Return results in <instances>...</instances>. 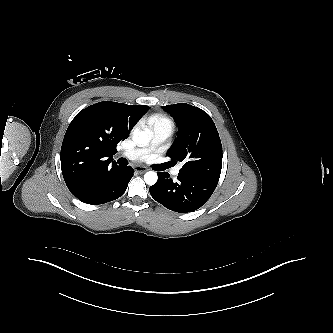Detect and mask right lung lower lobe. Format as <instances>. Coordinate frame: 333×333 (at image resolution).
<instances>
[{"label":"right lung lower lobe","instance_id":"right-lung-lower-lobe-1","mask_svg":"<svg viewBox=\"0 0 333 333\" xmlns=\"http://www.w3.org/2000/svg\"><path fill=\"white\" fill-rule=\"evenodd\" d=\"M132 176V167L118 166L88 182L74 196L80 201L92 205L113 201L123 195Z\"/></svg>","mask_w":333,"mask_h":333}]
</instances>
